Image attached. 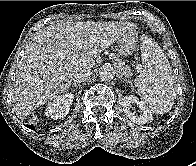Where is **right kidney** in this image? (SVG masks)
Wrapping results in <instances>:
<instances>
[{"mask_svg":"<svg viewBox=\"0 0 196 166\" xmlns=\"http://www.w3.org/2000/svg\"><path fill=\"white\" fill-rule=\"evenodd\" d=\"M74 99L72 93H66L56 97L52 102H49L45 108V115L54 120L64 118L70 110Z\"/></svg>","mask_w":196,"mask_h":166,"instance_id":"obj_1","label":"right kidney"}]
</instances>
